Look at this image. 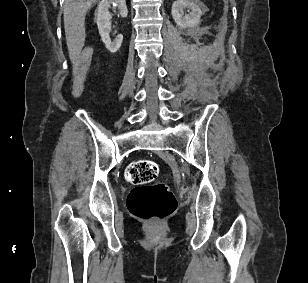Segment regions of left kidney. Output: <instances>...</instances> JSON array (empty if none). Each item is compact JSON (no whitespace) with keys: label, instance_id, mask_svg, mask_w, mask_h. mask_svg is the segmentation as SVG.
Listing matches in <instances>:
<instances>
[{"label":"left kidney","instance_id":"5707ae66","mask_svg":"<svg viewBox=\"0 0 308 283\" xmlns=\"http://www.w3.org/2000/svg\"><path fill=\"white\" fill-rule=\"evenodd\" d=\"M187 9L189 14H185ZM202 10L206 7L200 0H176L172 5V17L180 28H193L200 24Z\"/></svg>","mask_w":308,"mask_h":283}]
</instances>
